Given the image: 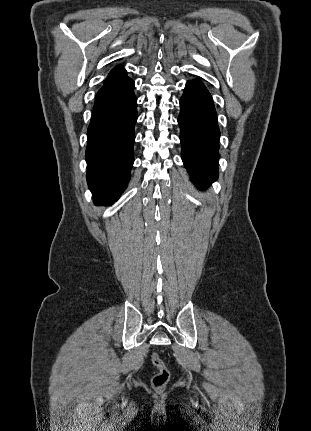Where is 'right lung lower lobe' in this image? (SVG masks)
<instances>
[{
  "mask_svg": "<svg viewBox=\"0 0 311 431\" xmlns=\"http://www.w3.org/2000/svg\"><path fill=\"white\" fill-rule=\"evenodd\" d=\"M134 86L123 69L110 73L96 96L86 150L87 181L96 204L116 201L130 179L137 120Z\"/></svg>",
  "mask_w": 311,
  "mask_h": 431,
  "instance_id": "1",
  "label": "right lung lower lobe"
}]
</instances>
